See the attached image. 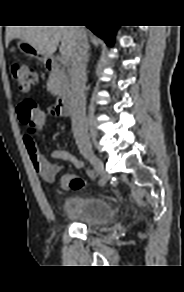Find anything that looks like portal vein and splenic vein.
Masks as SVG:
<instances>
[{
	"mask_svg": "<svg viewBox=\"0 0 184 292\" xmlns=\"http://www.w3.org/2000/svg\"><path fill=\"white\" fill-rule=\"evenodd\" d=\"M68 61H69L68 57L65 56L64 54H62V56H61V63L63 65H67L68 64Z\"/></svg>",
	"mask_w": 184,
	"mask_h": 292,
	"instance_id": "obj_1",
	"label": "portal vein and splenic vein"
}]
</instances>
